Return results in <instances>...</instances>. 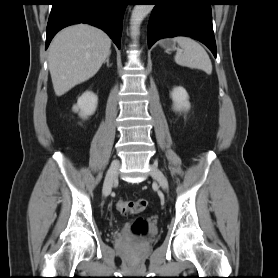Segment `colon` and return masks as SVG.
I'll return each instance as SVG.
<instances>
[{"instance_id":"1","label":"colon","mask_w":278,"mask_h":278,"mask_svg":"<svg viewBox=\"0 0 278 278\" xmlns=\"http://www.w3.org/2000/svg\"><path fill=\"white\" fill-rule=\"evenodd\" d=\"M148 201L146 199H138L135 201L120 200L117 203V209L123 214H138L146 210ZM148 231L147 220L138 218L132 225V232L137 236L145 235Z\"/></svg>"}]
</instances>
